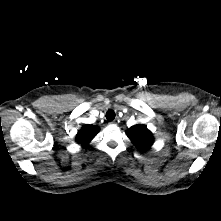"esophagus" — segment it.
Listing matches in <instances>:
<instances>
[{
    "label": "esophagus",
    "mask_w": 221,
    "mask_h": 221,
    "mask_svg": "<svg viewBox=\"0 0 221 221\" xmlns=\"http://www.w3.org/2000/svg\"><path fill=\"white\" fill-rule=\"evenodd\" d=\"M110 124L116 125V122H115V121H112V122H110Z\"/></svg>",
    "instance_id": "esophagus-1"
}]
</instances>
